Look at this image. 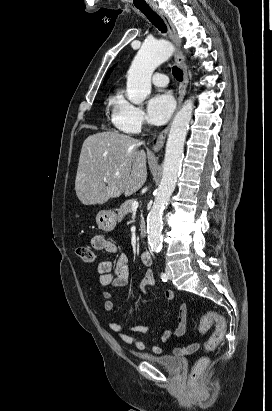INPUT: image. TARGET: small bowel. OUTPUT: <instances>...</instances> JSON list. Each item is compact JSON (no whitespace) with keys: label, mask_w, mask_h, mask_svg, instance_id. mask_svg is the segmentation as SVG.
<instances>
[{"label":"small bowel","mask_w":272,"mask_h":411,"mask_svg":"<svg viewBox=\"0 0 272 411\" xmlns=\"http://www.w3.org/2000/svg\"><path fill=\"white\" fill-rule=\"evenodd\" d=\"M92 246L97 251L117 254V258L114 262L103 260L98 264L99 282L103 287L107 288L103 291V298L105 300L104 310L106 312H111L114 308V302L112 301V291L109 288L124 287L128 285L130 280L129 258L125 254H118V246L101 234H97L92 238ZM154 287H156V279L152 269L148 268L140 282V291L143 295H146L147 289ZM164 295L170 302L174 301L176 298V294L172 289H167L164 292ZM177 322L178 324L176 328L165 330L161 333L160 339L162 342H166L174 337H180L185 333L187 325V305L185 303L181 304L179 307ZM108 327L124 343L135 347L139 351L145 349V342L133 336L132 333H147L149 331L147 325H136L127 329L114 321H110ZM150 347L155 354H160L162 351L161 347L153 342H150ZM197 349L198 344L194 343L187 347L176 348L174 353L176 355H185L193 353Z\"/></svg>","instance_id":"obj_1"}]
</instances>
